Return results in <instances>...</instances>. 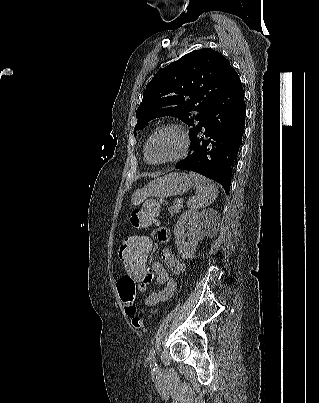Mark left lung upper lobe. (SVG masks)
I'll use <instances>...</instances> for the list:
<instances>
[{"instance_id": "left-lung-upper-lobe-1", "label": "left lung upper lobe", "mask_w": 319, "mask_h": 403, "mask_svg": "<svg viewBox=\"0 0 319 403\" xmlns=\"http://www.w3.org/2000/svg\"><path fill=\"white\" fill-rule=\"evenodd\" d=\"M231 68L221 53L210 48L193 51L171 63L144 90L135 130L154 118L169 115L191 126L192 138Z\"/></svg>"}]
</instances>
